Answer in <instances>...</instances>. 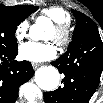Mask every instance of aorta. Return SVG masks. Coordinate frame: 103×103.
I'll return each mask as SVG.
<instances>
[{"mask_svg": "<svg viewBox=\"0 0 103 103\" xmlns=\"http://www.w3.org/2000/svg\"><path fill=\"white\" fill-rule=\"evenodd\" d=\"M60 75L53 66L39 68L35 73V82L39 88L45 91H53L58 87Z\"/></svg>", "mask_w": 103, "mask_h": 103, "instance_id": "aorta-1", "label": "aorta"}]
</instances>
